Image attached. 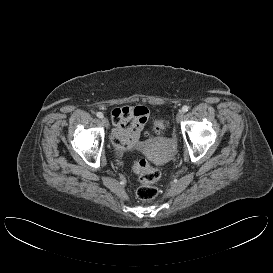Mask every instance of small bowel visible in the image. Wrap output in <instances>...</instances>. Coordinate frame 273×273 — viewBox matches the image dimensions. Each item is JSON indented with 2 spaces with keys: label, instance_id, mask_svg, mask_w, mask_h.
<instances>
[{
  "label": "small bowel",
  "instance_id": "obj_1",
  "mask_svg": "<svg viewBox=\"0 0 273 273\" xmlns=\"http://www.w3.org/2000/svg\"><path fill=\"white\" fill-rule=\"evenodd\" d=\"M149 111L144 106L115 108L111 112L114 129L111 139L118 150L134 145L147 123Z\"/></svg>",
  "mask_w": 273,
  "mask_h": 273
}]
</instances>
